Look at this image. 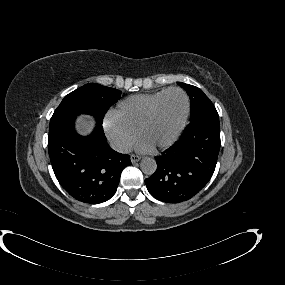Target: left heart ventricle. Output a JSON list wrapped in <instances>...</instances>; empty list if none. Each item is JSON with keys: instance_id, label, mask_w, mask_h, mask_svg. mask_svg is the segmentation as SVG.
<instances>
[{"instance_id": "left-heart-ventricle-1", "label": "left heart ventricle", "mask_w": 285, "mask_h": 285, "mask_svg": "<svg viewBox=\"0 0 285 285\" xmlns=\"http://www.w3.org/2000/svg\"><path fill=\"white\" fill-rule=\"evenodd\" d=\"M186 109L185 97L180 92L169 93L161 103L156 117L142 133L152 147L170 141L176 134Z\"/></svg>"}]
</instances>
